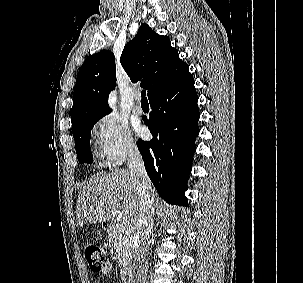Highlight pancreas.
Segmentation results:
<instances>
[{
  "mask_svg": "<svg viewBox=\"0 0 303 283\" xmlns=\"http://www.w3.org/2000/svg\"><path fill=\"white\" fill-rule=\"evenodd\" d=\"M131 236L132 230L122 223L116 224L109 233V238L116 249L118 265L124 269L129 266L133 256Z\"/></svg>",
  "mask_w": 303,
  "mask_h": 283,
  "instance_id": "obj_1",
  "label": "pancreas"
}]
</instances>
